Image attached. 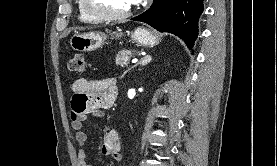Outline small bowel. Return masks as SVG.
<instances>
[{"instance_id":"small-bowel-1","label":"small bowel","mask_w":277,"mask_h":166,"mask_svg":"<svg viewBox=\"0 0 277 166\" xmlns=\"http://www.w3.org/2000/svg\"><path fill=\"white\" fill-rule=\"evenodd\" d=\"M71 127L75 130V139L80 147L77 161L79 166H92L88 163L83 149L87 141V134L83 131V124L91 117H101L103 110L112 107L117 97V87L111 78L101 80L77 79L71 86ZM121 144L118 132L108 129L103 136L101 154L113 161L121 160Z\"/></svg>"}]
</instances>
